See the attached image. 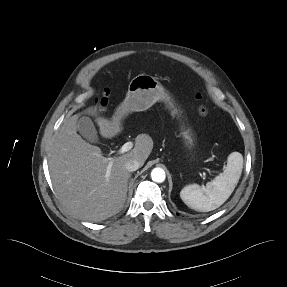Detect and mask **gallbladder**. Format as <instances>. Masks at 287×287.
<instances>
[{"label": "gallbladder", "mask_w": 287, "mask_h": 287, "mask_svg": "<svg viewBox=\"0 0 287 287\" xmlns=\"http://www.w3.org/2000/svg\"><path fill=\"white\" fill-rule=\"evenodd\" d=\"M77 130L88 141L92 143L98 142V135L94 123L87 116H82L78 120Z\"/></svg>", "instance_id": "1"}]
</instances>
